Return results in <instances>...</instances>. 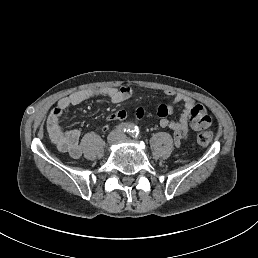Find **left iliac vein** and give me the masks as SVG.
<instances>
[{"instance_id":"1","label":"left iliac vein","mask_w":258,"mask_h":258,"mask_svg":"<svg viewBox=\"0 0 258 258\" xmlns=\"http://www.w3.org/2000/svg\"><path fill=\"white\" fill-rule=\"evenodd\" d=\"M118 133L120 134V135H119V138H120L121 140H126V139H127V136H126L125 133H123V130H122V129H119V130H118Z\"/></svg>"}]
</instances>
